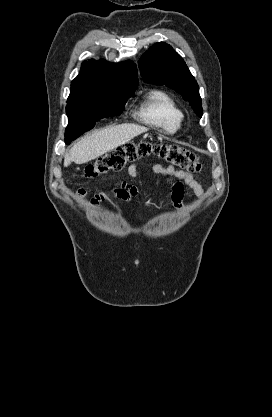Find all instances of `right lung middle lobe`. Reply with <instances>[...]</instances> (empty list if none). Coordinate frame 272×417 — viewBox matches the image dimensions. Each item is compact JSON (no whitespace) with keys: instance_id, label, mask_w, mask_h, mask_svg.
<instances>
[{"instance_id":"right-lung-middle-lobe-1","label":"right lung middle lobe","mask_w":272,"mask_h":417,"mask_svg":"<svg viewBox=\"0 0 272 417\" xmlns=\"http://www.w3.org/2000/svg\"><path fill=\"white\" fill-rule=\"evenodd\" d=\"M135 90L99 93L82 100L67 101L66 112L69 122L65 132V143L69 144L92 129L98 119L121 114L127 99L134 95Z\"/></svg>"}]
</instances>
